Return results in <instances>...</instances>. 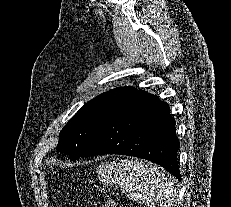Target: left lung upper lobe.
<instances>
[{
	"mask_svg": "<svg viewBox=\"0 0 231 207\" xmlns=\"http://www.w3.org/2000/svg\"><path fill=\"white\" fill-rule=\"evenodd\" d=\"M138 90L126 86L100 94L85 103L60 132L57 149L70 160L81 157L108 119Z\"/></svg>",
	"mask_w": 231,
	"mask_h": 207,
	"instance_id": "5c2ea615",
	"label": "left lung upper lobe"
}]
</instances>
